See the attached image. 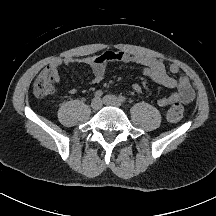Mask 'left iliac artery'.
I'll return each instance as SVG.
<instances>
[{
	"instance_id": "obj_1",
	"label": "left iliac artery",
	"mask_w": 216,
	"mask_h": 216,
	"mask_svg": "<svg viewBox=\"0 0 216 216\" xmlns=\"http://www.w3.org/2000/svg\"><path fill=\"white\" fill-rule=\"evenodd\" d=\"M119 101L123 103V102L126 101V98L124 96L120 95L119 96Z\"/></svg>"
}]
</instances>
